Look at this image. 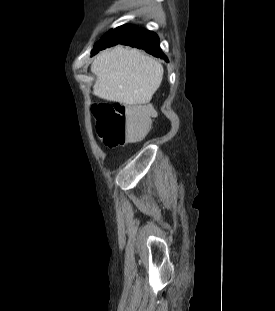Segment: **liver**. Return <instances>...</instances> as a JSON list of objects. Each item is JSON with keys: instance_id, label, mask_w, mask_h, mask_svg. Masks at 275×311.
Wrapping results in <instances>:
<instances>
[{"instance_id": "liver-1", "label": "liver", "mask_w": 275, "mask_h": 311, "mask_svg": "<svg viewBox=\"0 0 275 311\" xmlns=\"http://www.w3.org/2000/svg\"><path fill=\"white\" fill-rule=\"evenodd\" d=\"M91 72L96 96L126 105L147 104L160 87L163 66L137 49L118 46L98 55Z\"/></svg>"}]
</instances>
